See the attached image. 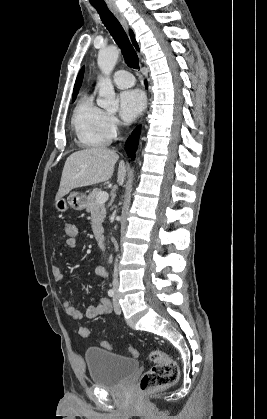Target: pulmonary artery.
Segmentation results:
<instances>
[{"mask_svg":"<svg viewBox=\"0 0 267 419\" xmlns=\"http://www.w3.org/2000/svg\"><path fill=\"white\" fill-rule=\"evenodd\" d=\"M113 82L120 88H128L134 85L135 80L130 72L126 70H119L114 73Z\"/></svg>","mask_w":267,"mask_h":419,"instance_id":"1","label":"pulmonary artery"}]
</instances>
